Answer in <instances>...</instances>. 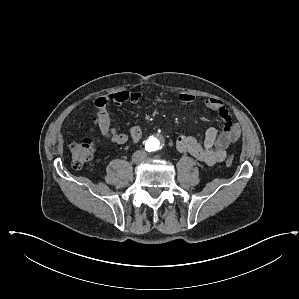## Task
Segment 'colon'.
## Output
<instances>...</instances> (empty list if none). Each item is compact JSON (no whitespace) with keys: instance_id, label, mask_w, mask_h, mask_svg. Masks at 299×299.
Wrapping results in <instances>:
<instances>
[{"instance_id":"5ec220e1","label":"colon","mask_w":299,"mask_h":299,"mask_svg":"<svg viewBox=\"0 0 299 299\" xmlns=\"http://www.w3.org/2000/svg\"><path fill=\"white\" fill-rule=\"evenodd\" d=\"M94 142L91 138H83L70 144L72 163L76 168L82 167L93 156ZM234 162V155L230 154L226 159V165L231 166Z\"/></svg>"}]
</instances>
